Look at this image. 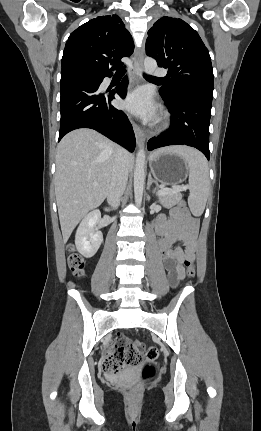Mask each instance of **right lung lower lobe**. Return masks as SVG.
Wrapping results in <instances>:
<instances>
[{"label": "right lung lower lobe", "mask_w": 261, "mask_h": 431, "mask_svg": "<svg viewBox=\"0 0 261 431\" xmlns=\"http://www.w3.org/2000/svg\"><path fill=\"white\" fill-rule=\"evenodd\" d=\"M106 76L111 77L112 73L61 78L59 141L72 130L91 128L133 152L136 141L132 125L110 103L115 93L125 98L127 80L124 78L112 93L106 94L99 91Z\"/></svg>", "instance_id": "obj_1"}]
</instances>
